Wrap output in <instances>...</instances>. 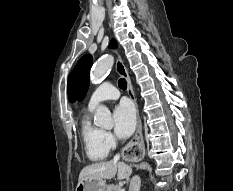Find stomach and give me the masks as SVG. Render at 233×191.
<instances>
[{
	"label": "stomach",
	"mask_w": 233,
	"mask_h": 191,
	"mask_svg": "<svg viewBox=\"0 0 233 191\" xmlns=\"http://www.w3.org/2000/svg\"><path fill=\"white\" fill-rule=\"evenodd\" d=\"M106 189L104 180L86 179L78 182L75 191H106Z\"/></svg>",
	"instance_id": "stomach-1"
}]
</instances>
